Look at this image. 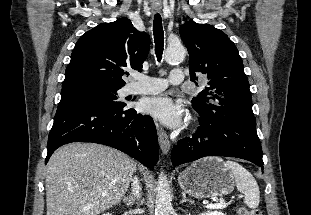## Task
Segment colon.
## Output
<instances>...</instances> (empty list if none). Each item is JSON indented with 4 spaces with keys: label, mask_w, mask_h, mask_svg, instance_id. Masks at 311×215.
<instances>
[{
    "label": "colon",
    "mask_w": 311,
    "mask_h": 215,
    "mask_svg": "<svg viewBox=\"0 0 311 215\" xmlns=\"http://www.w3.org/2000/svg\"><path fill=\"white\" fill-rule=\"evenodd\" d=\"M238 215H263L261 211L256 209H248L245 207H241L238 210Z\"/></svg>",
    "instance_id": "colon-1"
}]
</instances>
